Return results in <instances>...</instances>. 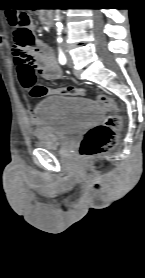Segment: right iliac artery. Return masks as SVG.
<instances>
[{
	"label": "right iliac artery",
	"mask_w": 145,
	"mask_h": 278,
	"mask_svg": "<svg viewBox=\"0 0 145 278\" xmlns=\"http://www.w3.org/2000/svg\"><path fill=\"white\" fill-rule=\"evenodd\" d=\"M57 41L60 43L62 41V39L59 38ZM59 62L62 65H64L66 63V57L61 50H59Z\"/></svg>",
	"instance_id": "82829eb1"
}]
</instances>
